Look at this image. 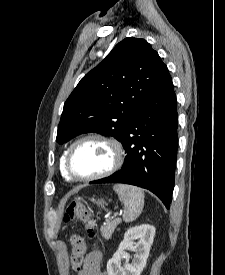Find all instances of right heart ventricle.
Returning <instances> with one entry per match:
<instances>
[{"label":"right heart ventricle","mask_w":225,"mask_h":275,"mask_svg":"<svg viewBox=\"0 0 225 275\" xmlns=\"http://www.w3.org/2000/svg\"><path fill=\"white\" fill-rule=\"evenodd\" d=\"M66 152L67 151L64 152V154L62 155V157L60 159V172H61V175L63 176V178H65L66 180H71V177L67 174L65 167H64Z\"/></svg>","instance_id":"right-heart-ventricle-1"}]
</instances>
